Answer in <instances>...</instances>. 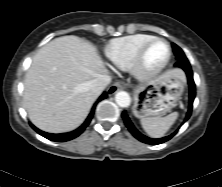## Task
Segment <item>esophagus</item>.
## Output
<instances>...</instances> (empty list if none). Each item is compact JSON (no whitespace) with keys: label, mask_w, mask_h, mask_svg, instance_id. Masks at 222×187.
<instances>
[{"label":"esophagus","mask_w":222,"mask_h":187,"mask_svg":"<svg viewBox=\"0 0 222 187\" xmlns=\"http://www.w3.org/2000/svg\"><path fill=\"white\" fill-rule=\"evenodd\" d=\"M122 88V86L118 83L113 84L109 89H108V94L112 95L119 91Z\"/></svg>","instance_id":"esophagus-1"}]
</instances>
